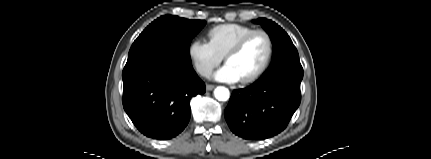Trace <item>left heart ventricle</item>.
Segmentation results:
<instances>
[{
	"label": "left heart ventricle",
	"mask_w": 431,
	"mask_h": 159,
	"mask_svg": "<svg viewBox=\"0 0 431 159\" xmlns=\"http://www.w3.org/2000/svg\"><path fill=\"white\" fill-rule=\"evenodd\" d=\"M267 53L268 43L266 38L263 35H255L237 55L229 58L226 64L232 67L241 80L250 76L262 66Z\"/></svg>",
	"instance_id": "1"
}]
</instances>
